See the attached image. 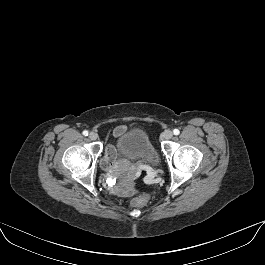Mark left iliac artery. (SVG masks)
Returning <instances> with one entry per match:
<instances>
[{
    "label": "left iliac artery",
    "mask_w": 265,
    "mask_h": 265,
    "mask_svg": "<svg viewBox=\"0 0 265 265\" xmlns=\"http://www.w3.org/2000/svg\"><path fill=\"white\" fill-rule=\"evenodd\" d=\"M173 133H174V135H178L180 133V131L178 129H174Z\"/></svg>",
    "instance_id": "1"
}]
</instances>
